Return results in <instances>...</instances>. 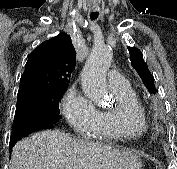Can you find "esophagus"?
I'll list each match as a JSON object with an SVG mask.
<instances>
[{
  "instance_id": "1",
  "label": "esophagus",
  "mask_w": 177,
  "mask_h": 169,
  "mask_svg": "<svg viewBox=\"0 0 177 169\" xmlns=\"http://www.w3.org/2000/svg\"><path fill=\"white\" fill-rule=\"evenodd\" d=\"M97 8L95 6L92 7V10H96Z\"/></svg>"
}]
</instances>
